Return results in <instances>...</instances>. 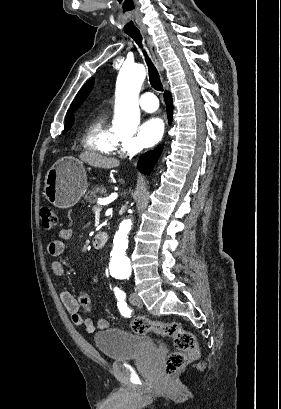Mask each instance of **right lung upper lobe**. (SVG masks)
<instances>
[{"label": "right lung upper lobe", "mask_w": 281, "mask_h": 409, "mask_svg": "<svg viewBox=\"0 0 281 409\" xmlns=\"http://www.w3.org/2000/svg\"><path fill=\"white\" fill-rule=\"evenodd\" d=\"M73 120H74L73 117L71 116V114L68 111L67 115H66V119H65V125H72Z\"/></svg>", "instance_id": "cb5924a9"}]
</instances>
